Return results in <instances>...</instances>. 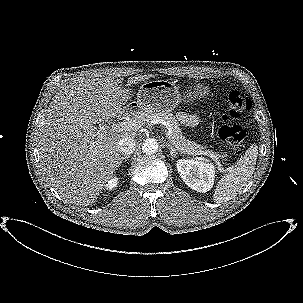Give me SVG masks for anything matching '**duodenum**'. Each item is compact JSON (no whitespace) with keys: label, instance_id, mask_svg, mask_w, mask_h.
<instances>
[{"label":"duodenum","instance_id":"obj_1","mask_svg":"<svg viewBox=\"0 0 303 303\" xmlns=\"http://www.w3.org/2000/svg\"><path fill=\"white\" fill-rule=\"evenodd\" d=\"M131 112H132V109H131V108H126V109H124L122 112H120V114H119V119H120V120L125 119Z\"/></svg>","mask_w":303,"mask_h":303}]
</instances>
